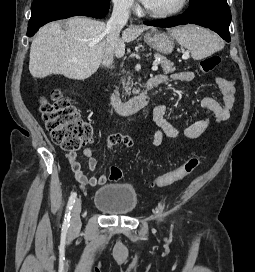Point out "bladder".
<instances>
[{
	"instance_id": "1",
	"label": "bladder",
	"mask_w": 255,
	"mask_h": 272,
	"mask_svg": "<svg viewBox=\"0 0 255 272\" xmlns=\"http://www.w3.org/2000/svg\"><path fill=\"white\" fill-rule=\"evenodd\" d=\"M93 205L107 215H129L138 205L137 191L129 183H109L98 188Z\"/></svg>"
}]
</instances>
